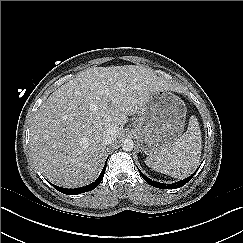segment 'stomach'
I'll return each instance as SVG.
<instances>
[{"label": "stomach", "mask_w": 243, "mask_h": 243, "mask_svg": "<svg viewBox=\"0 0 243 243\" xmlns=\"http://www.w3.org/2000/svg\"><path fill=\"white\" fill-rule=\"evenodd\" d=\"M186 107L167 91L153 93L134 122L139 148L145 154H157L169 147L183 132Z\"/></svg>", "instance_id": "stomach-1"}]
</instances>
